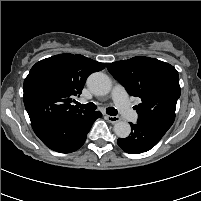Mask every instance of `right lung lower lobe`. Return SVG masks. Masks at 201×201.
<instances>
[{
	"label": "right lung lower lobe",
	"mask_w": 201,
	"mask_h": 201,
	"mask_svg": "<svg viewBox=\"0 0 201 201\" xmlns=\"http://www.w3.org/2000/svg\"><path fill=\"white\" fill-rule=\"evenodd\" d=\"M101 116L99 111L88 112L66 122H37L32 124V128L40 140L50 149L60 153H71L84 144L92 124Z\"/></svg>",
	"instance_id": "obj_1"
}]
</instances>
